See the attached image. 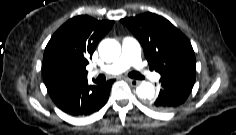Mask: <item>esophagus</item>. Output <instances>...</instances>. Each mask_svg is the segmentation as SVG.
<instances>
[{"label": "esophagus", "mask_w": 236, "mask_h": 135, "mask_svg": "<svg viewBox=\"0 0 236 135\" xmlns=\"http://www.w3.org/2000/svg\"><path fill=\"white\" fill-rule=\"evenodd\" d=\"M127 81L134 87L139 85V83H140V81L135 80V79H130V78H127Z\"/></svg>", "instance_id": "34e87169"}]
</instances>
